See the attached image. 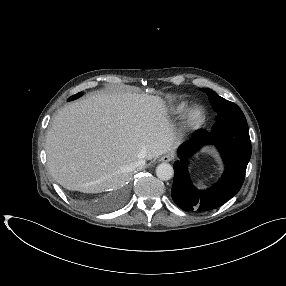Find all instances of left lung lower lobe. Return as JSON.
I'll use <instances>...</instances> for the list:
<instances>
[{"mask_svg":"<svg viewBox=\"0 0 286 286\" xmlns=\"http://www.w3.org/2000/svg\"><path fill=\"white\" fill-rule=\"evenodd\" d=\"M206 144H215L226 165L222 178L208 190L195 188L188 175L186 156ZM180 160L174 164L171 196L185 211H208L220 207L240 190L251 157L246 121H217L210 132L200 129L179 147Z\"/></svg>","mask_w":286,"mask_h":286,"instance_id":"0a47b994","label":"left lung lower lobe"}]
</instances>
